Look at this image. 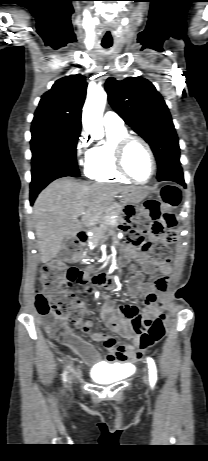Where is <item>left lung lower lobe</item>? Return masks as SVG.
Listing matches in <instances>:
<instances>
[{
    "mask_svg": "<svg viewBox=\"0 0 208 461\" xmlns=\"http://www.w3.org/2000/svg\"><path fill=\"white\" fill-rule=\"evenodd\" d=\"M157 179L158 181H174L184 187L186 186L180 165L170 169L167 173Z\"/></svg>",
    "mask_w": 208,
    "mask_h": 461,
    "instance_id": "0a47b994",
    "label": "left lung lower lobe"
}]
</instances>
